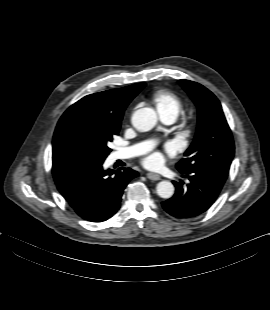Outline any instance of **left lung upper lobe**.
I'll return each instance as SVG.
<instances>
[{
	"mask_svg": "<svg viewBox=\"0 0 270 310\" xmlns=\"http://www.w3.org/2000/svg\"><path fill=\"white\" fill-rule=\"evenodd\" d=\"M198 108L197 132L186 158L176 165L181 172L202 168L208 172L228 175L234 156V143L222 107L215 95L204 86L180 80Z\"/></svg>",
	"mask_w": 270,
	"mask_h": 310,
	"instance_id": "5c2ea615",
	"label": "left lung upper lobe"
}]
</instances>
